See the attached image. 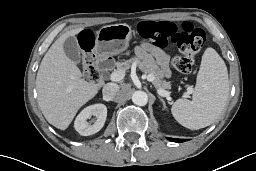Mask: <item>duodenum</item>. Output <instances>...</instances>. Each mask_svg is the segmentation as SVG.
I'll use <instances>...</instances> for the list:
<instances>
[{"mask_svg": "<svg viewBox=\"0 0 256 171\" xmlns=\"http://www.w3.org/2000/svg\"><path fill=\"white\" fill-rule=\"evenodd\" d=\"M96 64L100 70L105 71V70L112 68L114 65V62H113L112 58H110V57H101L96 60ZM102 83L103 82L100 81L99 86H101Z\"/></svg>", "mask_w": 256, "mask_h": 171, "instance_id": "1", "label": "duodenum"}]
</instances>
